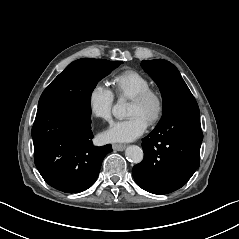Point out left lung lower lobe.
Instances as JSON below:
<instances>
[{"mask_svg": "<svg viewBox=\"0 0 239 239\" xmlns=\"http://www.w3.org/2000/svg\"><path fill=\"white\" fill-rule=\"evenodd\" d=\"M202 140L198 105L173 110L142 140L144 159L132 169L136 183L158 195L178 190L199 167Z\"/></svg>", "mask_w": 239, "mask_h": 239, "instance_id": "1", "label": "left lung lower lobe"}]
</instances>
